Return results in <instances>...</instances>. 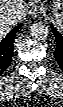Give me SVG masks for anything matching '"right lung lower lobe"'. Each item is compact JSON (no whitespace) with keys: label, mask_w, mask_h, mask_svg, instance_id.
Returning <instances> with one entry per match:
<instances>
[{"label":"right lung lower lobe","mask_w":63,"mask_h":107,"mask_svg":"<svg viewBox=\"0 0 63 107\" xmlns=\"http://www.w3.org/2000/svg\"><path fill=\"white\" fill-rule=\"evenodd\" d=\"M21 26L22 24L16 26L0 42V75L7 69L12 61L14 38Z\"/></svg>","instance_id":"right-lung-lower-lobe-1"}]
</instances>
